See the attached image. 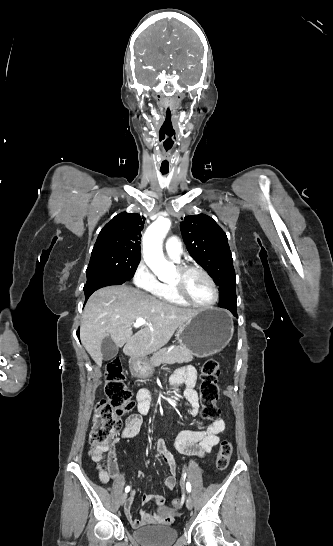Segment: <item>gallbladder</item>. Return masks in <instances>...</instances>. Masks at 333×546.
Listing matches in <instances>:
<instances>
[{"label": "gallbladder", "mask_w": 333, "mask_h": 546, "mask_svg": "<svg viewBox=\"0 0 333 546\" xmlns=\"http://www.w3.org/2000/svg\"><path fill=\"white\" fill-rule=\"evenodd\" d=\"M119 348L112 342L109 337L102 340L101 353L103 360L109 361L117 356Z\"/></svg>", "instance_id": "gallbladder-1"}]
</instances>
